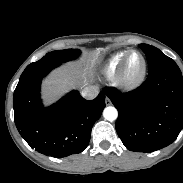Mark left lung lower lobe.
Here are the masks:
<instances>
[{"label":"left lung lower lobe","mask_w":183,"mask_h":183,"mask_svg":"<svg viewBox=\"0 0 183 183\" xmlns=\"http://www.w3.org/2000/svg\"><path fill=\"white\" fill-rule=\"evenodd\" d=\"M118 110L116 131L130 151L153 152L173 143L183 128V76L177 65L148 73L137 89L104 88Z\"/></svg>","instance_id":"obj_1"}]
</instances>
